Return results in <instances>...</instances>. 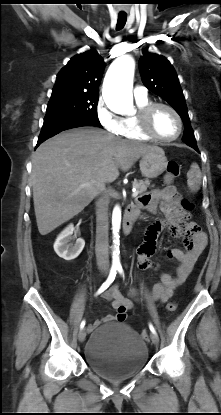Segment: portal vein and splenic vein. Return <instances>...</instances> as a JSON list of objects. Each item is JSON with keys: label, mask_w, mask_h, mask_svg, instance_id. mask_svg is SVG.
<instances>
[{"label": "portal vein and splenic vein", "mask_w": 221, "mask_h": 415, "mask_svg": "<svg viewBox=\"0 0 221 415\" xmlns=\"http://www.w3.org/2000/svg\"><path fill=\"white\" fill-rule=\"evenodd\" d=\"M82 187H84V186H90V184H84V185H81ZM138 195V192L136 191V189H133V193H132V197L134 198V197H136Z\"/></svg>", "instance_id": "18ae733b"}]
</instances>
